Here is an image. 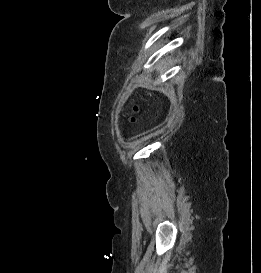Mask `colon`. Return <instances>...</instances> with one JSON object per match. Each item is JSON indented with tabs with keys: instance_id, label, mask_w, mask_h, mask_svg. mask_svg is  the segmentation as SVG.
Here are the masks:
<instances>
[{
	"instance_id": "1",
	"label": "colon",
	"mask_w": 261,
	"mask_h": 273,
	"mask_svg": "<svg viewBox=\"0 0 261 273\" xmlns=\"http://www.w3.org/2000/svg\"><path fill=\"white\" fill-rule=\"evenodd\" d=\"M138 109L136 108V111H137ZM132 122H135V118H132V120H131Z\"/></svg>"
}]
</instances>
